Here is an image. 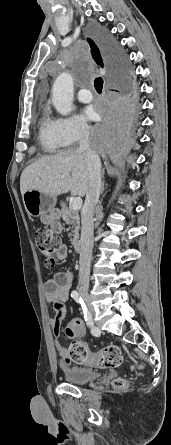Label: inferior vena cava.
Here are the masks:
<instances>
[{"instance_id":"obj_1","label":"inferior vena cava","mask_w":171,"mask_h":445,"mask_svg":"<svg viewBox=\"0 0 171 445\" xmlns=\"http://www.w3.org/2000/svg\"><path fill=\"white\" fill-rule=\"evenodd\" d=\"M79 151L86 155L87 166L90 174L89 189L86 194L82 213L81 250L79 259L78 284L81 291H87L89 286L90 263L93 249L94 209L99 202L101 192V161L99 156L90 148L89 131L82 128L79 134Z\"/></svg>"}]
</instances>
